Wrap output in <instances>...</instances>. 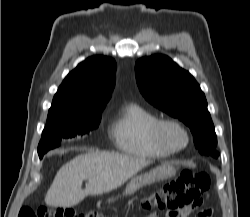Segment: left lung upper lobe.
<instances>
[{
	"instance_id": "5c2ea615",
	"label": "left lung upper lobe",
	"mask_w": 250,
	"mask_h": 217,
	"mask_svg": "<svg viewBox=\"0 0 250 217\" xmlns=\"http://www.w3.org/2000/svg\"><path fill=\"white\" fill-rule=\"evenodd\" d=\"M140 92L155 107L184 122L203 155L217 158V138L200 85L165 55L139 59L135 65Z\"/></svg>"
}]
</instances>
